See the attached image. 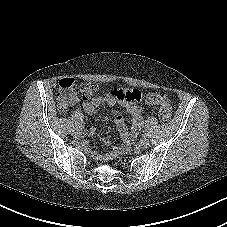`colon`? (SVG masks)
<instances>
[{"label": "colon", "instance_id": "obj_1", "mask_svg": "<svg viewBox=\"0 0 227 227\" xmlns=\"http://www.w3.org/2000/svg\"><path fill=\"white\" fill-rule=\"evenodd\" d=\"M98 92V86L95 83L77 84L72 78H64L59 81L57 92V105L61 113L68 110L81 94L84 99H90ZM145 101L148 105H160L159 118L161 121H169L172 117V110L168 99L160 92H150L146 95Z\"/></svg>", "mask_w": 227, "mask_h": 227}]
</instances>
